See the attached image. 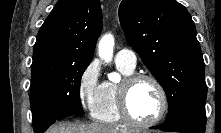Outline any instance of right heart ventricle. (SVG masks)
<instances>
[{"label":"right heart ventricle","instance_id":"obj_1","mask_svg":"<svg viewBox=\"0 0 221 133\" xmlns=\"http://www.w3.org/2000/svg\"><path fill=\"white\" fill-rule=\"evenodd\" d=\"M120 73L127 77L134 73V69H130L124 65L117 64ZM119 83L106 81L102 83L100 96L97 105L92 113L93 117L103 123L118 124L123 122L118 108V88Z\"/></svg>","mask_w":221,"mask_h":133}]
</instances>
